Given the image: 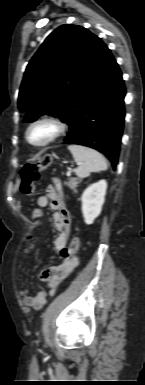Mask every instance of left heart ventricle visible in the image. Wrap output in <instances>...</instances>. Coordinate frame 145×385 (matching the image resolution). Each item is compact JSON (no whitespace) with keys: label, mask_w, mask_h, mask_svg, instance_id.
I'll return each instance as SVG.
<instances>
[{"label":"left heart ventricle","mask_w":145,"mask_h":385,"mask_svg":"<svg viewBox=\"0 0 145 385\" xmlns=\"http://www.w3.org/2000/svg\"><path fill=\"white\" fill-rule=\"evenodd\" d=\"M53 129L48 125H39L30 133V139L35 143L45 141L52 134Z\"/></svg>","instance_id":"left-heart-ventricle-1"}]
</instances>
